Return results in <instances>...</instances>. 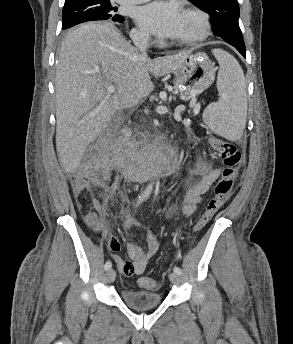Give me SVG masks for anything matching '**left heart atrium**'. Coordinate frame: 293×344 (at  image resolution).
Returning <instances> with one entry per match:
<instances>
[{
	"mask_svg": "<svg viewBox=\"0 0 293 344\" xmlns=\"http://www.w3.org/2000/svg\"><path fill=\"white\" fill-rule=\"evenodd\" d=\"M180 8L173 2L155 1L136 11V22L159 38H172L182 23Z\"/></svg>",
	"mask_w": 293,
	"mask_h": 344,
	"instance_id": "obj_1",
	"label": "left heart atrium"
}]
</instances>
